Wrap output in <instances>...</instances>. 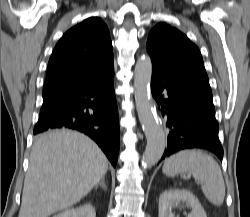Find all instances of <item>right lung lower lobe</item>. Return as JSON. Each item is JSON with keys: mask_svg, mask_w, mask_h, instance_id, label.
I'll list each match as a JSON object with an SVG mask.
<instances>
[{"mask_svg": "<svg viewBox=\"0 0 250 217\" xmlns=\"http://www.w3.org/2000/svg\"><path fill=\"white\" fill-rule=\"evenodd\" d=\"M54 128L73 129L90 136L116 166L120 130L114 67L91 82L43 98L34 134Z\"/></svg>", "mask_w": 250, "mask_h": 217, "instance_id": "right-lung-lower-lobe-1", "label": "right lung lower lobe"}]
</instances>
